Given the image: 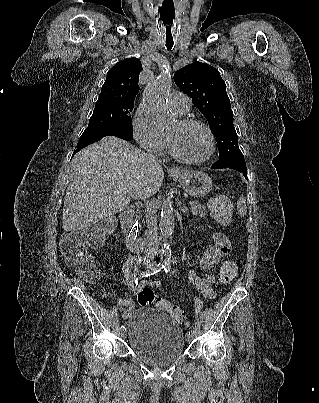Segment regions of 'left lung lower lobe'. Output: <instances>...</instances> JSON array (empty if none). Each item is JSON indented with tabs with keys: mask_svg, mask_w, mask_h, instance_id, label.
Segmentation results:
<instances>
[{
	"mask_svg": "<svg viewBox=\"0 0 319 403\" xmlns=\"http://www.w3.org/2000/svg\"><path fill=\"white\" fill-rule=\"evenodd\" d=\"M211 168L213 169H221V168H229L234 169L241 172L246 179L247 177V168L244 159L240 158H226V159H219L216 161Z\"/></svg>",
	"mask_w": 319,
	"mask_h": 403,
	"instance_id": "obj_1",
	"label": "left lung lower lobe"
}]
</instances>
